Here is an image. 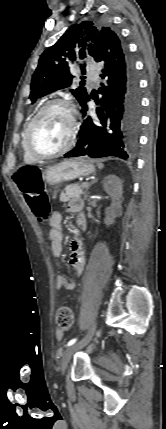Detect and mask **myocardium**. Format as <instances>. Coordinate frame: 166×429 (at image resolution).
<instances>
[{
  "label": "myocardium",
  "instance_id": "1",
  "mask_svg": "<svg viewBox=\"0 0 166 429\" xmlns=\"http://www.w3.org/2000/svg\"><path fill=\"white\" fill-rule=\"evenodd\" d=\"M56 106H61L64 107L68 114H69V118H70V130H69V138L67 143L59 150H57L56 152L50 153V154H42L37 152L33 146H32V135L33 132L35 130V127L39 121V119L41 118V116L46 113L49 109L56 107ZM76 134H77V121H76V111L74 106L71 104L70 101L64 99V98H56V99H52L48 102H46L40 109L39 111L35 114V116L32 118L26 135H25V148L28 151V153L35 159L37 160H49V159H53L56 158L58 156H61L62 154L68 152L72 146L75 143V139H76Z\"/></svg>",
  "mask_w": 166,
  "mask_h": 429
}]
</instances>
